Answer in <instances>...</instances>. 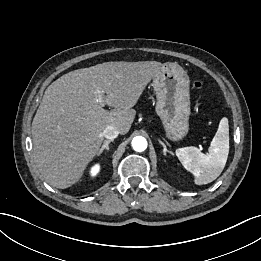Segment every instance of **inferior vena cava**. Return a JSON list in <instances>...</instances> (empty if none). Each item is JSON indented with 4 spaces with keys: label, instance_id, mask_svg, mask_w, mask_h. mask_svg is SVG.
<instances>
[{
    "label": "inferior vena cava",
    "instance_id": "602c4592",
    "mask_svg": "<svg viewBox=\"0 0 261 261\" xmlns=\"http://www.w3.org/2000/svg\"><path fill=\"white\" fill-rule=\"evenodd\" d=\"M119 135V131L114 126H107L103 131V136L106 139L113 140Z\"/></svg>",
    "mask_w": 261,
    "mask_h": 261
}]
</instances>
